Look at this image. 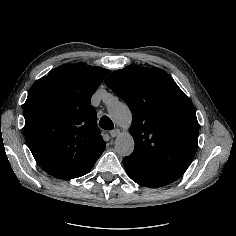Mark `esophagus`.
Returning a JSON list of instances; mask_svg holds the SVG:
<instances>
[{
    "label": "esophagus",
    "instance_id": "34e87169",
    "mask_svg": "<svg viewBox=\"0 0 236 236\" xmlns=\"http://www.w3.org/2000/svg\"><path fill=\"white\" fill-rule=\"evenodd\" d=\"M120 134V130L119 129H114L113 131H111L110 135L112 138L117 137Z\"/></svg>",
    "mask_w": 236,
    "mask_h": 236
}]
</instances>
